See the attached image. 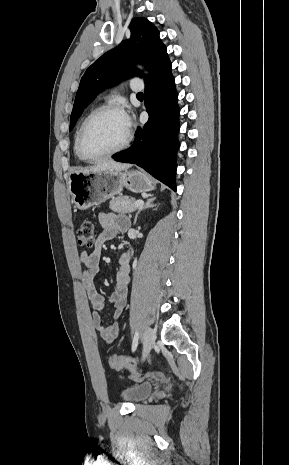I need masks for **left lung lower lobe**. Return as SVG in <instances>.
<instances>
[{
	"instance_id": "obj_1",
	"label": "left lung lower lobe",
	"mask_w": 289,
	"mask_h": 465,
	"mask_svg": "<svg viewBox=\"0 0 289 465\" xmlns=\"http://www.w3.org/2000/svg\"><path fill=\"white\" fill-rule=\"evenodd\" d=\"M177 97L171 71L146 84L144 103L149 120L143 129H137L132 147L112 156L116 161L140 166L173 190H176V153L179 147Z\"/></svg>"
}]
</instances>
